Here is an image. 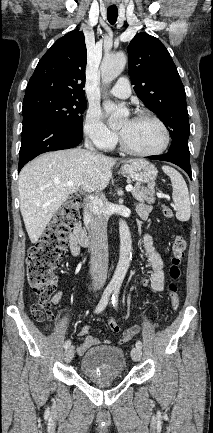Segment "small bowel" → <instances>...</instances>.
I'll use <instances>...</instances> for the list:
<instances>
[{
	"label": "small bowel",
	"instance_id": "1",
	"mask_svg": "<svg viewBox=\"0 0 213 433\" xmlns=\"http://www.w3.org/2000/svg\"><path fill=\"white\" fill-rule=\"evenodd\" d=\"M151 207L147 204H139L137 206L138 214L141 218L145 219L148 217L150 213ZM143 245L145 250V256L148 263V268L150 270V275L148 278H145L142 280L143 284L145 286H148L149 289L153 293H160L164 289V281H165V275H164V264L163 260L157 251V249L153 245L152 238L149 234H145L143 237ZM69 249L70 253L73 257H78L80 254V245L76 241L73 233L70 235L69 238ZM62 298V293L60 291L56 292L53 297L51 298V302L53 304H59ZM139 332L138 326H132L128 330H126L121 339L120 342L124 343L129 341L132 337H134ZM125 333H129V337H125ZM80 336L84 337V341L81 345L78 346L77 352L78 354H84L90 347H92L94 344H97L99 342V339L93 335L90 334L89 326L84 325L80 330ZM108 342V341H105Z\"/></svg>",
	"mask_w": 213,
	"mask_h": 433
}]
</instances>
